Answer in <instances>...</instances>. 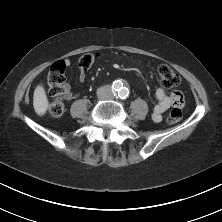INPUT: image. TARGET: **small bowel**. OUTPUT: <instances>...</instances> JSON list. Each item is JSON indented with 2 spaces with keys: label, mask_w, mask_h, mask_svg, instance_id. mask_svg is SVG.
<instances>
[{
  "label": "small bowel",
  "mask_w": 222,
  "mask_h": 222,
  "mask_svg": "<svg viewBox=\"0 0 222 222\" xmlns=\"http://www.w3.org/2000/svg\"><path fill=\"white\" fill-rule=\"evenodd\" d=\"M67 65H70L69 61H66ZM86 79V73L83 70H80L79 80L84 82ZM156 99L158 103L155 105L152 111V119L155 122H160L162 120L163 114L169 109L172 108L174 110H181L185 106L184 95L180 91H173L168 95L163 89H157L155 92ZM76 97V95L71 90V85L69 83H65V100H72Z\"/></svg>",
  "instance_id": "1"
}]
</instances>
